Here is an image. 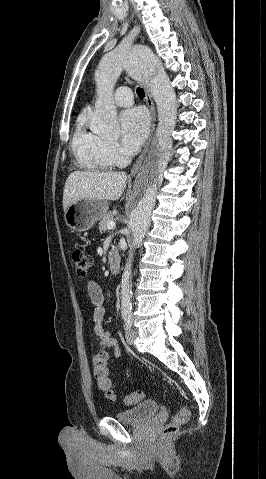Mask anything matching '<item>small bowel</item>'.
<instances>
[{"label":"small bowel","instance_id":"c3829d8e","mask_svg":"<svg viewBox=\"0 0 266 479\" xmlns=\"http://www.w3.org/2000/svg\"><path fill=\"white\" fill-rule=\"evenodd\" d=\"M87 292L92 304L93 310V322H94V334L97 339L98 345L105 349H113L114 356L119 358L121 355L118 348L117 340L111 336V334L102 328V321L105 315L104 308V294L101 287L94 281H89L87 284Z\"/></svg>","mask_w":266,"mask_h":479}]
</instances>
